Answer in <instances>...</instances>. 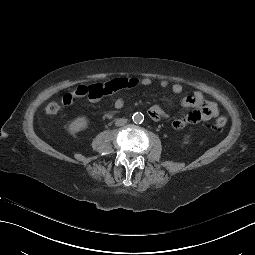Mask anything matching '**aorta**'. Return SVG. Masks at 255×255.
I'll return each instance as SVG.
<instances>
[{"instance_id":"obj_1","label":"aorta","mask_w":255,"mask_h":255,"mask_svg":"<svg viewBox=\"0 0 255 255\" xmlns=\"http://www.w3.org/2000/svg\"><path fill=\"white\" fill-rule=\"evenodd\" d=\"M132 120L135 124H141L144 121V115L141 112H136L133 114Z\"/></svg>"}]
</instances>
